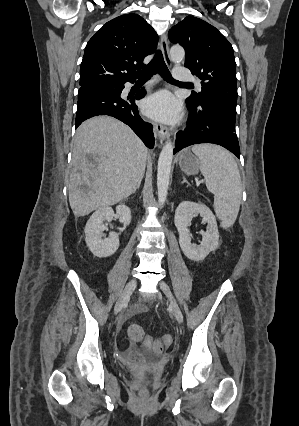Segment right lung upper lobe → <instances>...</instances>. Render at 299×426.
I'll return each instance as SVG.
<instances>
[{
	"label": "right lung upper lobe",
	"instance_id": "1",
	"mask_svg": "<svg viewBox=\"0 0 299 426\" xmlns=\"http://www.w3.org/2000/svg\"><path fill=\"white\" fill-rule=\"evenodd\" d=\"M158 36L139 15L107 22L87 43L80 67V86H117L134 81L154 52Z\"/></svg>",
	"mask_w": 299,
	"mask_h": 426
}]
</instances>
